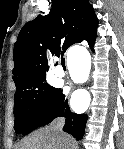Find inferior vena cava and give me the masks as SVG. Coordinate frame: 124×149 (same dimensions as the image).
<instances>
[{"label": "inferior vena cava", "instance_id": "inferior-vena-cava-1", "mask_svg": "<svg viewBox=\"0 0 124 149\" xmlns=\"http://www.w3.org/2000/svg\"><path fill=\"white\" fill-rule=\"evenodd\" d=\"M65 123V119L63 118H58L54 124L51 126L54 130V132L56 133V135L61 139L64 140V142H62V149H71V139H68V136H64V134L62 133V128L64 126Z\"/></svg>", "mask_w": 124, "mask_h": 149}]
</instances>
